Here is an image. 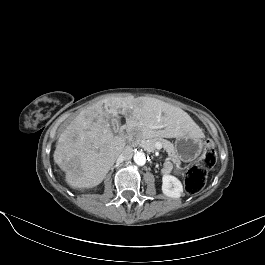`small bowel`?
Listing matches in <instances>:
<instances>
[{
  "label": "small bowel",
  "mask_w": 265,
  "mask_h": 265,
  "mask_svg": "<svg viewBox=\"0 0 265 265\" xmlns=\"http://www.w3.org/2000/svg\"><path fill=\"white\" fill-rule=\"evenodd\" d=\"M173 169V163L171 161H166L163 166V173H169Z\"/></svg>",
  "instance_id": "obj_1"
}]
</instances>
